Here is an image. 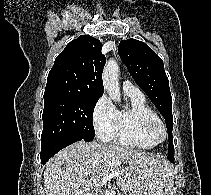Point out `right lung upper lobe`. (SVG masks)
Here are the masks:
<instances>
[{"instance_id":"obj_1","label":"right lung upper lobe","mask_w":211,"mask_h":195,"mask_svg":"<svg viewBox=\"0 0 211 195\" xmlns=\"http://www.w3.org/2000/svg\"><path fill=\"white\" fill-rule=\"evenodd\" d=\"M102 43L88 35L69 42L55 59L44 94L70 93L100 98L104 92L102 72L105 56Z\"/></svg>"}]
</instances>
